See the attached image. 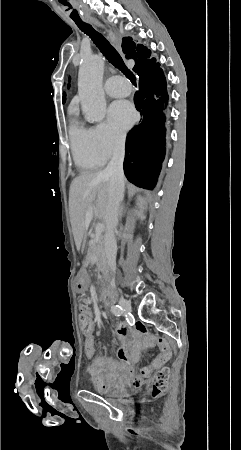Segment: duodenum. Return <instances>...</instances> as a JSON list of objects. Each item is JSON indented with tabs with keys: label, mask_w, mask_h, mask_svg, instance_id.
I'll use <instances>...</instances> for the list:
<instances>
[{
	"label": "duodenum",
	"mask_w": 241,
	"mask_h": 450,
	"mask_svg": "<svg viewBox=\"0 0 241 450\" xmlns=\"http://www.w3.org/2000/svg\"><path fill=\"white\" fill-rule=\"evenodd\" d=\"M101 294H102V297L106 300H110L113 297V291L107 286H103L101 288Z\"/></svg>",
	"instance_id": "obj_1"
}]
</instances>
